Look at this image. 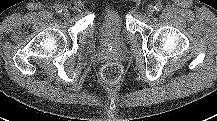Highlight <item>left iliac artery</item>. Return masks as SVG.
<instances>
[{
  "instance_id": "1",
  "label": "left iliac artery",
  "mask_w": 217,
  "mask_h": 121,
  "mask_svg": "<svg viewBox=\"0 0 217 121\" xmlns=\"http://www.w3.org/2000/svg\"><path fill=\"white\" fill-rule=\"evenodd\" d=\"M154 8H155L156 11H160L162 9V4L157 3Z\"/></svg>"
}]
</instances>
